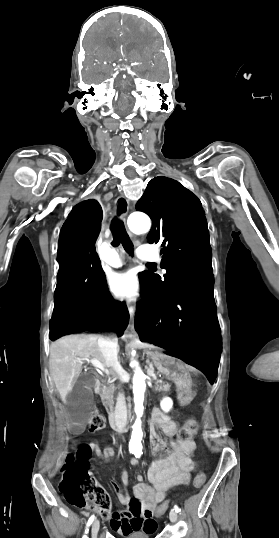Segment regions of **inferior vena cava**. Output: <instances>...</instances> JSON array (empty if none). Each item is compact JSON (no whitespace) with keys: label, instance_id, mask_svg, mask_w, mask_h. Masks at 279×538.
Segmentation results:
<instances>
[{"label":"inferior vena cava","instance_id":"602c4592","mask_svg":"<svg viewBox=\"0 0 279 538\" xmlns=\"http://www.w3.org/2000/svg\"><path fill=\"white\" fill-rule=\"evenodd\" d=\"M98 345L101 348V352L103 353V356L106 357V364L107 367L112 366L114 370H117V372H123L126 373L120 366L119 362L117 361V346H118V338L117 335H100V338L98 339ZM115 361V363L113 362ZM123 382H126L122 380ZM124 399V397H123ZM119 397L117 400L116 410L114 413V421L115 425L118 427L116 431L118 432H127L126 429H122L126 425L127 422V410L125 401Z\"/></svg>","mask_w":279,"mask_h":538}]
</instances>
